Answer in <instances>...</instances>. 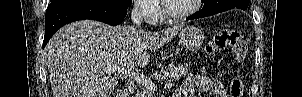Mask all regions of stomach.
<instances>
[{"instance_id":"obj_1","label":"stomach","mask_w":302,"mask_h":97,"mask_svg":"<svg viewBox=\"0 0 302 97\" xmlns=\"http://www.w3.org/2000/svg\"><path fill=\"white\" fill-rule=\"evenodd\" d=\"M205 40V35L201 29L195 26H185L179 33V44L188 49L200 47Z\"/></svg>"}]
</instances>
